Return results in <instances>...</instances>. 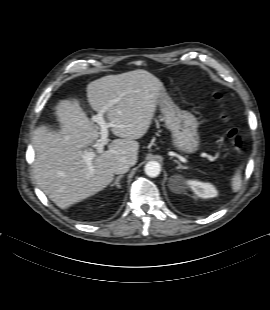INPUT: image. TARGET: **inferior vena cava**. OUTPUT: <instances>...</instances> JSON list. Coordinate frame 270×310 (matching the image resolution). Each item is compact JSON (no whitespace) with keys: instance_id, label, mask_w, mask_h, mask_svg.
<instances>
[{"instance_id":"obj_1","label":"inferior vena cava","mask_w":270,"mask_h":310,"mask_svg":"<svg viewBox=\"0 0 270 310\" xmlns=\"http://www.w3.org/2000/svg\"><path fill=\"white\" fill-rule=\"evenodd\" d=\"M130 168V163L127 160H120L113 166V172L115 174H124L128 172Z\"/></svg>"}]
</instances>
